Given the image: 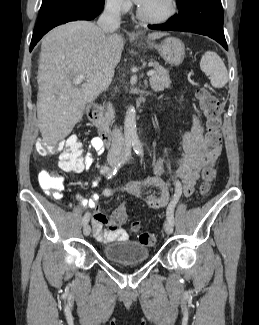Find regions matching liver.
Here are the masks:
<instances>
[{
	"mask_svg": "<svg viewBox=\"0 0 259 325\" xmlns=\"http://www.w3.org/2000/svg\"><path fill=\"white\" fill-rule=\"evenodd\" d=\"M167 33L154 32L150 39ZM124 41L89 21H74L42 39L37 74V118L43 140L55 145L82 120L86 104L107 89L120 62ZM84 75L78 87L73 77Z\"/></svg>",
	"mask_w": 259,
	"mask_h": 325,
	"instance_id": "liver-1",
	"label": "liver"
}]
</instances>
